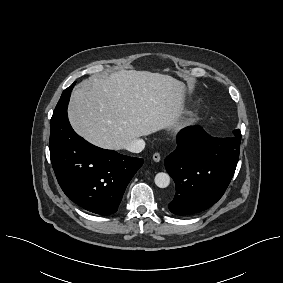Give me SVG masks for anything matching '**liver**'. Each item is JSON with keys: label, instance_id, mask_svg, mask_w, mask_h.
<instances>
[{"label": "liver", "instance_id": "liver-1", "mask_svg": "<svg viewBox=\"0 0 283 283\" xmlns=\"http://www.w3.org/2000/svg\"><path fill=\"white\" fill-rule=\"evenodd\" d=\"M184 98V84L171 76L121 70L80 83L68 116L77 134L90 143L120 150L141 136L174 127Z\"/></svg>", "mask_w": 283, "mask_h": 283}]
</instances>
